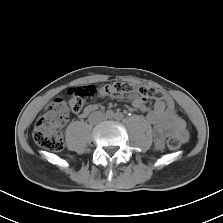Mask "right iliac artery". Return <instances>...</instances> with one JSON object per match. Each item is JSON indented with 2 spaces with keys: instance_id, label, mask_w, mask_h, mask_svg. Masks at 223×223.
Instances as JSON below:
<instances>
[{
  "instance_id": "obj_1",
  "label": "right iliac artery",
  "mask_w": 223,
  "mask_h": 223,
  "mask_svg": "<svg viewBox=\"0 0 223 223\" xmlns=\"http://www.w3.org/2000/svg\"><path fill=\"white\" fill-rule=\"evenodd\" d=\"M107 117L112 118L114 116V112L112 110H109L106 112Z\"/></svg>"
}]
</instances>
